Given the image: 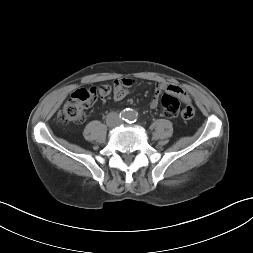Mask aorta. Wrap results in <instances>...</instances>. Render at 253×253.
<instances>
[{
    "label": "aorta",
    "mask_w": 253,
    "mask_h": 253,
    "mask_svg": "<svg viewBox=\"0 0 253 253\" xmlns=\"http://www.w3.org/2000/svg\"><path fill=\"white\" fill-rule=\"evenodd\" d=\"M137 117V114L134 110H127L125 112V118L128 120H134Z\"/></svg>",
    "instance_id": "obj_1"
}]
</instances>
